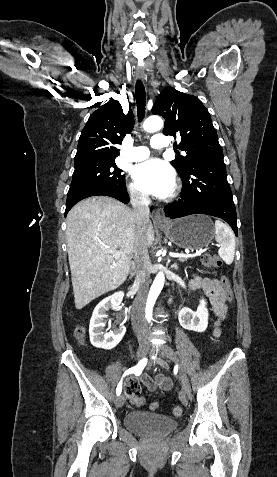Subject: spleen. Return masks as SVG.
<instances>
[{
  "instance_id": "3e777b00",
  "label": "spleen",
  "mask_w": 277,
  "mask_h": 477,
  "mask_svg": "<svg viewBox=\"0 0 277 477\" xmlns=\"http://www.w3.org/2000/svg\"><path fill=\"white\" fill-rule=\"evenodd\" d=\"M215 239L220 244L218 250L220 258L230 265L235 255V237L232 230L219 220L215 221Z\"/></svg>"
}]
</instances>
